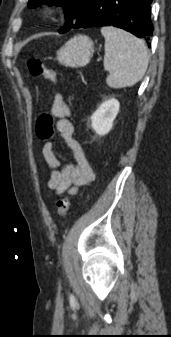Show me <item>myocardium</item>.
I'll return each instance as SVG.
<instances>
[{
    "instance_id": "obj_1",
    "label": "myocardium",
    "mask_w": 171,
    "mask_h": 337,
    "mask_svg": "<svg viewBox=\"0 0 171 337\" xmlns=\"http://www.w3.org/2000/svg\"><path fill=\"white\" fill-rule=\"evenodd\" d=\"M60 13V7L55 3H47L43 7V15L47 18H55Z\"/></svg>"
}]
</instances>
